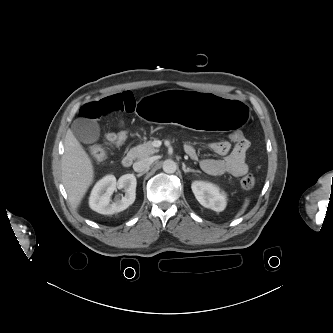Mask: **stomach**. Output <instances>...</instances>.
I'll return each mask as SVG.
<instances>
[{"mask_svg":"<svg viewBox=\"0 0 333 333\" xmlns=\"http://www.w3.org/2000/svg\"><path fill=\"white\" fill-rule=\"evenodd\" d=\"M137 112L154 123H172L212 133L238 131L251 118L243 103L212 92L184 89L154 92L139 101Z\"/></svg>","mask_w":333,"mask_h":333,"instance_id":"0dacf381","label":"stomach"}]
</instances>
